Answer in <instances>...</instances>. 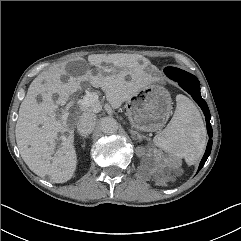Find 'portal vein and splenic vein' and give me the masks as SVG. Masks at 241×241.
Returning <instances> with one entry per match:
<instances>
[{"label": "portal vein and splenic vein", "mask_w": 241, "mask_h": 241, "mask_svg": "<svg viewBox=\"0 0 241 241\" xmlns=\"http://www.w3.org/2000/svg\"><path fill=\"white\" fill-rule=\"evenodd\" d=\"M77 104L81 107H93L94 109L99 108V103H98V95L95 93H88L86 94L83 99H80Z\"/></svg>", "instance_id": "18ae733b"}]
</instances>
